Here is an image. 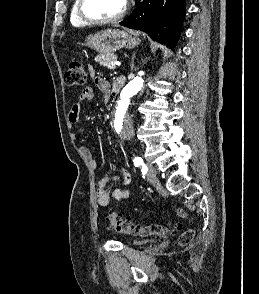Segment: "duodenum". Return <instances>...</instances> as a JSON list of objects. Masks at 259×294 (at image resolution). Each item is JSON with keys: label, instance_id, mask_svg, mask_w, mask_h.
<instances>
[{"label": "duodenum", "instance_id": "obj_1", "mask_svg": "<svg viewBox=\"0 0 259 294\" xmlns=\"http://www.w3.org/2000/svg\"><path fill=\"white\" fill-rule=\"evenodd\" d=\"M123 84V80L122 79H118L116 82H115V91H119L121 85Z\"/></svg>", "mask_w": 259, "mask_h": 294}]
</instances>
